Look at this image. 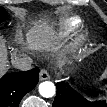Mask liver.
<instances>
[{
	"mask_svg": "<svg viewBox=\"0 0 107 107\" xmlns=\"http://www.w3.org/2000/svg\"><path fill=\"white\" fill-rule=\"evenodd\" d=\"M7 69V50L1 46L0 48V72L5 73Z\"/></svg>",
	"mask_w": 107,
	"mask_h": 107,
	"instance_id": "1",
	"label": "liver"
}]
</instances>
